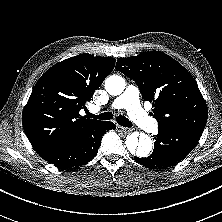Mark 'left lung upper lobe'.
Returning a JSON list of instances; mask_svg holds the SVG:
<instances>
[{
	"mask_svg": "<svg viewBox=\"0 0 222 222\" xmlns=\"http://www.w3.org/2000/svg\"><path fill=\"white\" fill-rule=\"evenodd\" d=\"M116 70L133 79L145 101L153 102L159 125L183 126L202 131L207 106L192 75L176 60L160 51L119 58Z\"/></svg>",
	"mask_w": 222,
	"mask_h": 222,
	"instance_id": "5c2ea615",
	"label": "left lung upper lobe"
}]
</instances>
